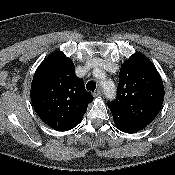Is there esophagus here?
Wrapping results in <instances>:
<instances>
[{
	"label": "esophagus",
	"mask_w": 175,
	"mask_h": 175,
	"mask_svg": "<svg viewBox=\"0 0 175 175\" xmlns=\"http://www.w3.org/2000/svg\"><path fill=\"white\" fill-rule=\"evenodd\" d=\"M93 96H94V97H100V96H102V91H101V89H97V90L93 93Z\"/></svg>",
	"instance_id": "esophagus-1"
}]
</instances>
